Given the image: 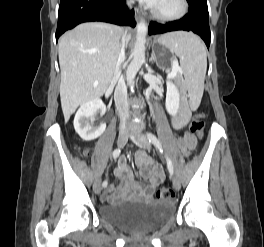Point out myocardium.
Masks as SVG:
<instances>
[{"label": "myocardium", "mask_w": 264, "mask_h": 247, "mask_svg": "<svg viewBox=\"0 0 264 247\" xmlns=\"http://www.w3.org/2000/svg\"><path fill=\"white\" fill-rule=\"evenodd\" d=\"M179 3V9L171 14H161L159 13L155 7L151 9L152 16L163 22H170V21H176L181 18H183L189 11V2L188 0H178Z\"/></svg>", "instance_id": "obj_1"}]
</instances>
